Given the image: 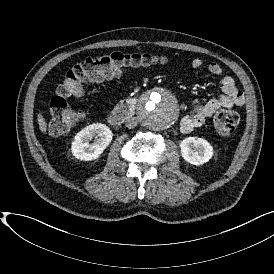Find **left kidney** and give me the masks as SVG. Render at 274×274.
I'll return each mask as SVG.
<instances>
[{
    "instance_id": "1",
    "label": "left kidney",
    "mask_w": 274,
    "mask_h": 274,
    "mask_svg": "<svg viewBox=\"0 0 274 274\" xmlns=\"http://www.w3.org/2000/svg\"><path fill=\"white\" fill-rule=\"evenodd\" d=\"M181 156L185 162L200 166L209 162L214 156L213 146L200 137H187L180 142Z\"/></svg>"
}]
</instances>
